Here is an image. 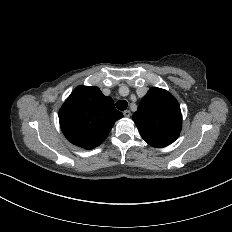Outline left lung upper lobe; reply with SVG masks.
<instances>
[{"mask_svg": "<svg viewBox=\"0 0 232 232\" xmlns=\"http://www.w3.org/2000/svg\"><path fill=\"white\" fill-rule=\"evenodd\" d=\"M142 138L153 147L174 142L181 131V110L174 96L166 90L151 88L133 114Z\"/></svg>", "mask_w": 232, "mask_h": 232, "instance_id": "5c2ea615", "label": "left lung upper lobe"}]
</instances>
